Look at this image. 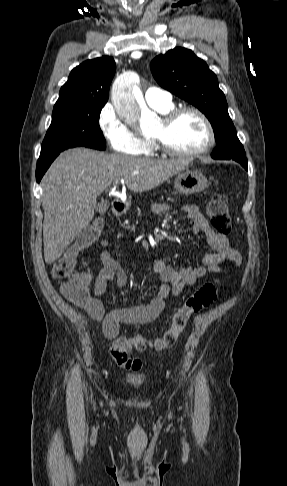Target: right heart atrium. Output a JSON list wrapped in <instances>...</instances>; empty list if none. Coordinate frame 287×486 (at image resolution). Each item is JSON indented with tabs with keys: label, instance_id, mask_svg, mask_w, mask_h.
Here are the masks:
<instances>
[{
	"label": "right heart atrium",
	"instance_id": "right-heart-atrium-1",
	"mask_svg": "<svg viewBox=\"0 0 287 486\" xmlns=\"http://www.w3.org/2000/svg\"><path fill=\"white\" fill-rule=\"evenodd\" d=\"M98 125L113 151L126 154L140 152L142 139L121 119L111 103H106L100 110Z\"/></svg>",
	"mask_w": 287,
	"mask_h": 486
}]
</instances>
